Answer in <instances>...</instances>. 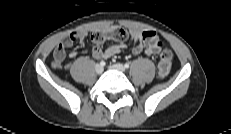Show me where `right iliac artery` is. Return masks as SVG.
Returning <instances> with one entry per match:
<instances>
[{
  "label": "right iliac artery",
  "instance_id": "1",
  "mask_svg": "<svg viewBox=\"0 0 231 134\" xmlns=\"http://www.w3.org/2000/svg\"><path fill=\"white\" fill-rule=\"evenodd\" d=\"M105 64H106V63H105L104 61H101V62H100V65H101L102 67L105 66Z\"/></svg>",
  "mask_w": 231,
  "mask_h": 134
}]
</instances>
